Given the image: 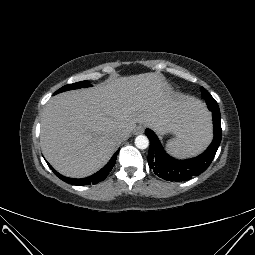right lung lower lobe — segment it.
Returning a JSON list of instances; mask_svg holds the SVG:
<instances>
[{"mask_svg":"<svg viewBox=\"0 0 255 255\" xmlns=\"http://www.w3.org/2000/svg\"><path fill=\"white\" fill-rule=\"evenodd\" d=\"M118 152L119 150L116 151V153L113 155L111 160L100 171H98L97 173L89 177L81 178V179H74V178H68V177L62 176L57 171H55L49 164L48 165L61 180L69 184L78 185V186L96 184V183H99L100 181H103L108 176V174L110 173V171L112 170L113 166L116 163Z\"/></svg>","mask_w":255,"mask_h":255,"instance_id":"98d812e1","label":"right lung lower lobe"}]
</instances>
